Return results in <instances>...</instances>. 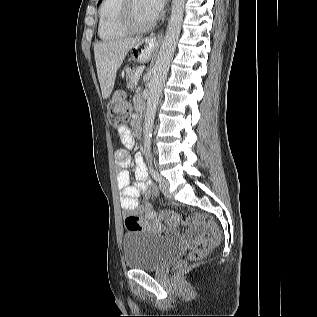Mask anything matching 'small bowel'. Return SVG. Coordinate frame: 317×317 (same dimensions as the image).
Listing matches in <instances>:
<instances>
[{"label":"small bowel","instance_id":"c3829d8e","mask_svg":"<svg viewBox=\"0 0 317 317\" xmlns=\"http://www.w3.org/2000/svg\"><path fill=\"white\" fill-rule=\"evenodd\" d=\"M118 133L122 144L125 149H119L115 152V163L119 168L117 174V186L120 190V204L125 214L135 213L143 215L144 219L151 223H156L157 213L152 207V204L148 200H139L141 193H148L151 198H155L158 194L157 189L151 184V181L147 175L146 166L140 155L135 156V178L136 182L131 184L129 167L131 164V158L127 149L134 146V137L128 127L122 125L118 128ZM168 234L172 237L177 235L174 228H170ZM197 233L195 230L187 233L189 240L195 239Z\"/></svg>","mask_w":317,"mask_h":317}]
</instances>
